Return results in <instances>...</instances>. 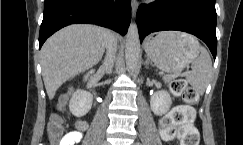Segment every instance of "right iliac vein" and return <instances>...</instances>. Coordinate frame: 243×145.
Masks as SVG:
<instances>
[{"instance_id": "1", "label": "right iliac vein", "mask_w": 243, "mask_h": 145, "mask_svg": "<svg viewBox=\"0 0 243 145\" xmlns=\"http://www.w3.org/2000/svg\"><path fill=\"white\" fill-rule=\"evenodd\" d=\"M102 145H110L108 141H104Z\"/></svg>"}]
</instances>
